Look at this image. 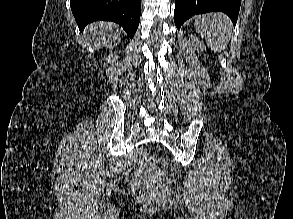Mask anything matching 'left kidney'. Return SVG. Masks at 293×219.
Instances as JSON below:
<instances>
[{
    "label": "left kidney",
    "mask_w": 293,
    "mask_h": 219,
    "mask_svg": "<svg viewBox=\"0 0 293 219\" xmlns=\"http://www.w3.org/2000/svg\"><path fill=\"white\" fill-rule=\"evenodd\" d=\"M195 47H199L201 50H203V47H202V44L201 43H198L197 45L196 44H193Z\"/></svg>",
    "instance_id": "1"
}]
</instances>
